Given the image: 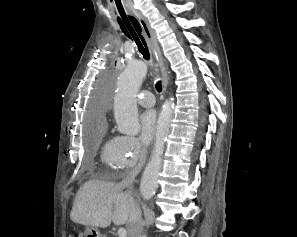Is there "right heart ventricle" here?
<instances>
[{"instance_id":"e07e8e85","label":"right heart ventricle","mask_w":297,"mask_h":237,"mask_svg":"<svg viewBox=\"0 0 297 237\" xmlns=\"http://www.w3.org/2000/svg\"><path fill=\"white\" fill-rule=\"evenodd\" d=\"M117 154L118 137L108 139L103 145L102 158L104 162L112 169H119Z\"/></svg>"}]
</instances>
